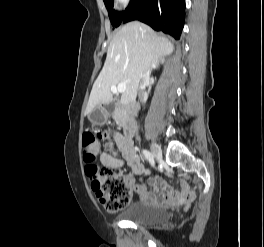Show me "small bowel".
<instances>
[{
  "mask_svg": "<svg viewBox=\"0 0 264 247\" xmlns=\"http://www.w3.org/2000/svg\"><path fill=\"white\" fill-rule=\"evenodd\" d=\"M117 141L119 148L122 151L123 160L132 170V174L128 175L126 180L130 185H133L135 181L134 175L143 174L145 169L132 146V141L121 135L117 136ZM101 162L103 165L110 168H116L122 164L120 160H117L107 153H102ZM151 185L160 191L159 196L147 194L145 186L140 185L135 187V191L142 195L144 201L156 200L164 204H173L187 203L193 198L194 190L187 183L181 185V190L179 192H175L164 179L159 177L152 179Z\"/></svg>",
  "mask_w": 264,
  "mask_h": 247,
  "instance_id": "small-bowel-1",
  "label": "small bowel"
}]
</instances>
